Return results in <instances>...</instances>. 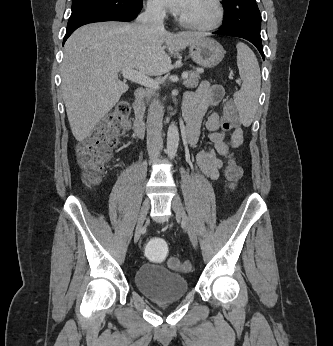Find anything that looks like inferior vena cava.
<instances>
[{
	"mask_svg": "<svg viewBox=\"0 0 333 346\" xmlns=\"http://www.w3.org/2000/svg\"><path fill=\"white\" fill-rule=\"evenodd\" d=\"M165 11L158 4L148 5L141 13L136 23L143 25L150 31H163ZM163 108L158 100L152 99L147 116V150L150 159L156 160L163 148L162 140Z\"/></svg>",
	"mask_w": 333,
	"mask_h": 346,
	"instance_id": "1",
	"label": "inferior vena cava"
}]
</instances>
